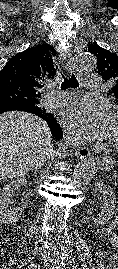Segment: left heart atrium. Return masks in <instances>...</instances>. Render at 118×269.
Returning a JSON list of instances; mask_svg holds the SVG:
<instances>
[{
  "label": "left heart atrium",
  "mask_w": 118,
  "mask_h": 269,
  "mask_svg": "<svg viewBox=\"0 0 118 269\" xmlns=\"http://www.w3.org/2000/svg\"><path fill=\"white\" fill-rule=\"evenodd\" d=\"M112 113L108 104L103 101L83 100L69 107L64 120L76 136L84 139H102L108 133Z\"/></svg>",
  "instance_id": "left-heart-atrium-1"
}]
</instances>
